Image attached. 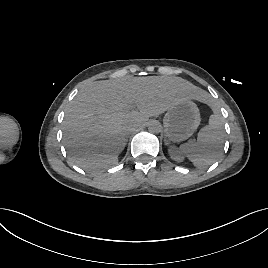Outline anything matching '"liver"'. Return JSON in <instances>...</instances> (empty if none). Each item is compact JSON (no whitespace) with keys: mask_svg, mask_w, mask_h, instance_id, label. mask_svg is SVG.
<instances>
[{"mask_svg":"<svg viewBox=\"0 0 268 268\" xmlns=\"http://www.w3.org/2000/svg\"><path fill=\"white\" fill-rule=\"evenodd\" d=\"M195 86L179 77L126 76L83 87L70 102L63 140L71 160L85 170L118 162L127 127H137L186 99H202Z\"/></svg>","mask_w":268,"mask_h":268,"instance_id":"liver-1","label":"liver"}]
</instances>
